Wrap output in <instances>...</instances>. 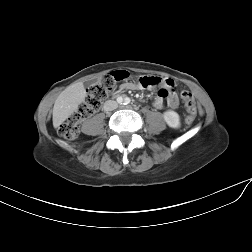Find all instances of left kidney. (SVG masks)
Segmentation results:
<instances>
[{
	"label": "left kidney",
	"mask_w": 252,
	"mask_h": 252,
	"mask_svg": "<svg viewBox=\"0 0 252 252\" xmlns=\"http://www.w3.org/2000/svg\"><path fill=\"white\" fill-rule=\"evenodd\" d=\"M163 118L167 125L172 128H179L180 127V117L178 113L173 110H167L163 114Z\"/></svg>",
	"instance_id": "obj_1"
}]
</instances>
